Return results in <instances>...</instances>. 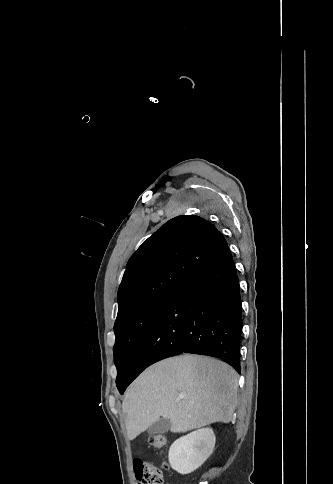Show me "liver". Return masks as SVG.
<instances>
[{"instance_id":"1","label":"liver","mask_w":333,"mask_h":484,"mask_svg":"<svg viewBox=\"0 0 333 484\" xmlns=\"http://www.w3.org/2000/svg\"><path fill=\"white\" fill-rule=\"evenodd\" d=\"M237 388L236 371L220 360L189 354L162 360L141 373L125 393L122 410L128 439L160 417L170 420L173 433L229 423Z\"/></svg>"}]
</instances>
